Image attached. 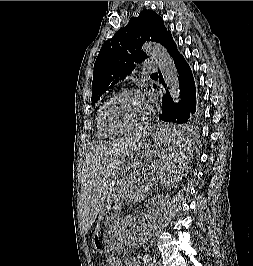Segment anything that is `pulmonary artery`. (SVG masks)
<instances>
[{"label": "pulmonary artery", "instance_id": "obj_1", "mask_svg": "<svg viewBox=\"0 0 253 266\" xmlns=\"http://www.w3.org/2000/svg\"><path fill=\"white\" fill-rule=\"evenodd\" d=\"M156 66L154 65L153 62L151 61H145L144 62V70L146 71H151V70H155Z\"/></svg>", "mask_w": 253, "mask_h": 266}]
</instances>
